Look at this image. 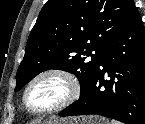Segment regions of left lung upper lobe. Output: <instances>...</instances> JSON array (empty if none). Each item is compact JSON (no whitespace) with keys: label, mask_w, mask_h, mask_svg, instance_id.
<instances>
[{"label":"left lung upper lobe","mask_w":145,"mask_h":124,"mask_svg":"<svg viewBox=\"0 0 145 124\" xmlns=\"http://www.w3.org/2000/svg\"><path fill=\"white\" fill-rule=\"evenodd\" d=\"M134 8L133 0H49L29 35L15 92L39 73L59 69L76 75L83 95Z\"/></svg>","instance_id":"left-lung-upper-lobe-1"}]
</instances>
